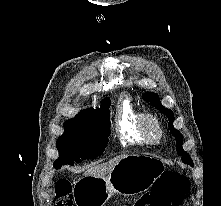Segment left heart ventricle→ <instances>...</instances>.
I'll return each mask as SVG.
<instances>
[{"instance_id":"left-heart-ventricle-1","label":"left heart ventricle","mask_w":221,"mask_h":206,"mask_svg":"<svg viewBox=\"0 0 221 206\" xmlns=\"http://www.w3.org/2000/svg\"><path fill=\"white\" fill-rule=\"evenodd\" d=\"M151 133H152V136H153V137H156L157 131H156L154 128L151 129Z\"/></svg>"}]
</instances>
